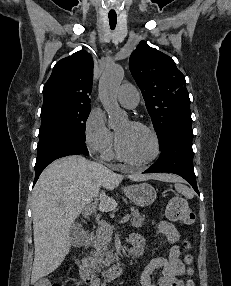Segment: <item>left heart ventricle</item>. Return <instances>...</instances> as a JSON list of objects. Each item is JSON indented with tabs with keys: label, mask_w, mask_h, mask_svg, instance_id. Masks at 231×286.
<instances>
[{
	"label": "left heart ventricle",
	"mask_w": 231,
	"mask_h": 286,
	"mask_svg": "<svg viewBox=\"0 0 231 286\" xmlns=\"http://www.w3.org/2000/svg\"><path fill=\"white\" fill-rule=\"evenodd\" d=\"M116 135L123 153L129 159L143 162L152 156L153 139L145 130L124 122L117 128Z\"/></svg>",
	"instance_id": "left-heart-ventricle-1"
}]
</instances>
